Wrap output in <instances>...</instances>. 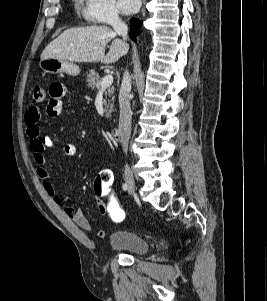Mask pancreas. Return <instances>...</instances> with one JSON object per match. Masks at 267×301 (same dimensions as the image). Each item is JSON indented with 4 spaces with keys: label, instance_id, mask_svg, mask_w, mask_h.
Returning a JSON list of instances; mask_svg holds the SVG:
<instances>
[{
    "label": "pancreas",
    "instance_id": "obj_1",
    "mask_svg": "<svg viewBox=\"0 0 267 301\" xmlns=\"http://www.w3.org/2000/svg\"><path fill=\"white\" fill-rule=\"evenodd\" d=\"M87 86L91 88V90H99L101 87L102 78L100 77L99 73H97L95 70H91L90 73H87L86 78ZM114 94V87H109L105 91V99L103 101L104 103V112L106 113V118L110 117V114L113 109V101L115 99Z\"/></svg>",
    "mask_w": 267,
    "mask_h": 301
}]
</instances>
